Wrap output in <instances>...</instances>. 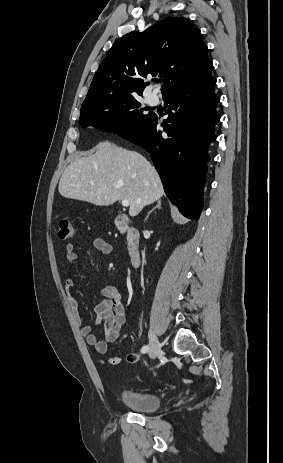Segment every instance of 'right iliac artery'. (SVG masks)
<instances>
[{"instance_id":"82829eb1","label":"right iliac artery","mask_w":283,"mask_h":463,"mask_svg":"<svg viewBox=\"0 0 283 463\" xmlns=\"http://www.w3.org/2000/svg\"><path fill=\"white\" fill-rule=\"evenodd\" d=\"M148 351V346H143L141 349V353H146Z\"/></svg>"}]
</instances>
